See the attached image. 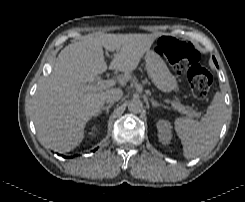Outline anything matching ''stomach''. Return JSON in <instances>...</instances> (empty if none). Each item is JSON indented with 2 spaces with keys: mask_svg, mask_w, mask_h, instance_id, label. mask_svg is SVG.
Returning <instances> with one entry per match:
<instances>
[{
  "mask_svg": "<svg viewBox=\"0 0 245 202\" xmlns=\"http://www.w3.org/2000/svg\"><path fill=\"white\" fill-rule=\"evenodd\" d=\"M145 62L150 79L160 91L170 93L176 89V78L156 49H149L146 52Z\"/></svg>",
  "mask_w": 245,
  "mask_h": 202,
  "instance_id": "1",
  "label": "stomach"
}]
</instances>
